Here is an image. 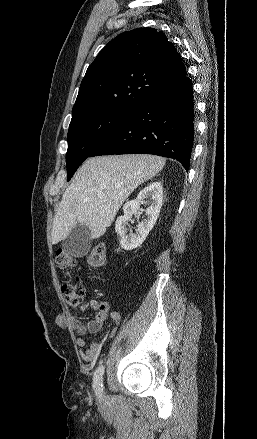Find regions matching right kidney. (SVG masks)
Returning a JSON list of instances; mask_svg holds the SVG:
<instances>
[{
  "mask_svg": "<svg viewBox=\"0 0 257 439\" xmlns=\"http://www.w3.org/2000/svg\"><path fill=\"white\" fill-rule=\"evenodd\" d=\"M163 202V187L160 182L154 181L143 188L135 200L127 202L123 206V216H119L115 222V231L120 236V245L125 250H132L139 247L149 232L154 227L160 213ZM142 203L148 204L145 211L147 219L139 222L136 233L128 234L127 224L133 214H138L142 211L140 205Z\"/></svg>",
  "mask_w": 257,
  "mask_h": 439,
  "instance_id": "right-kidney-1",
  "label": "right kidney"
}]
</instances>
